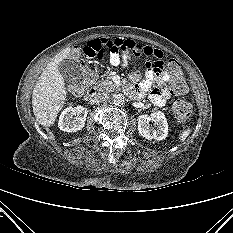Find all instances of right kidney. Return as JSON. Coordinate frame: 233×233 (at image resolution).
Masks as SVG:
<instances>
[{
    "mask_svg": "<svg viewBox=\"0 0 233 233\" xmlns=\"http://www.w3.org/2000/svg\"><path fill=\"white\" fill-rule=\"evenodd\" d=\"M87 113L88 110L83 106L68 107L61 113L58 127L65 132L79 131L85 125ZM73 116H75L74 119Z\"/></svg>",
    "mask_w": 233,
    "mask_h": 233,
    "instance_id": "right-kidney-1",
    "label": "right kidney"
}]
</instances>
